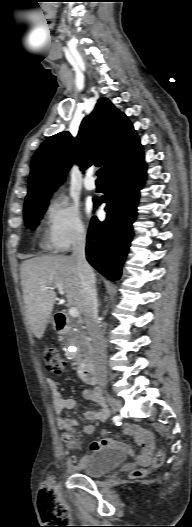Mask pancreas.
Wrapping results in <instances>:
<instances>
[{
    "mask_svg": "<svg viewBox=\"0 0 192 527\" xmlns=\"http://www.w3.org/2000/svg\"><path fill=\"white\" fill-rule=\"evenodd\" d=\"M85 341L84 334L78 330V331H72L70 333V342L76 345H80Z\"/></svg>",
    "mask_w": 192,
    "mask_h": 527,
    "instance_id": "obj_1",
    "label": "pancreas"
}]
</instances>
